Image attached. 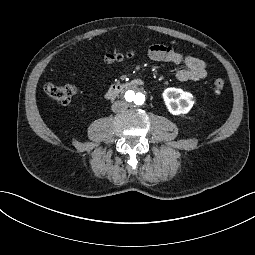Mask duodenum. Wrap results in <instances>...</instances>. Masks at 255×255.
Wrapping results in <instances>:
<instances>
[{
    "label": "duodenum",
    "mask_w": 255,
    "mask_h": 255,
    "mask_svg": "<svg viewBox=\"0 0 255 255\" xmlns=\"http://www.w3.org/2000/svg\"><path fill=\"white\" fill-rule=\"evenodd\" d=\"M142 85H143V81L140 79H134V80L122 82V83H115L112 86H110V88L107 90L106 97L109 99H112L126 90L132 89L133 87H136V86H142Z\"/></svg>",
    "instance_id": "410a0bca"
}]
</instances>
